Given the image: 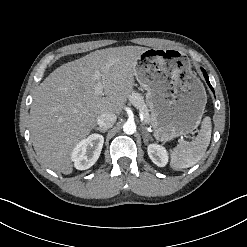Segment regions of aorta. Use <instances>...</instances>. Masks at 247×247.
Listing matches in <instances>:
<instances>
[{
  "label": "aorta",
  "mask_w": 247,
  "mask_h": 247,
  "mask_svg": "<svg viewBox=\"0 0 247 247\" xmlns=\"http://www.w3.org/2000/svg\"><path fill=\"white\" fill-rule=\"evenodd\" d=\"M123 131L128 135L134 134L136 132V124L132 121H127L123 125Z\"/></svg>",
  "instance_id": "1"
}]
</instances>
